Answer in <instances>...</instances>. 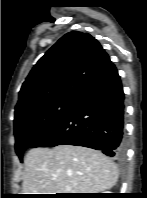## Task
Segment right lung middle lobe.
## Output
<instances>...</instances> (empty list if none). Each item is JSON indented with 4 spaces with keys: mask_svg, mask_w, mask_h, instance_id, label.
Segmentation results:
<instances>
[{
    "mask_svg": "<svg viewBox=\"0 0 147 198\" xmlns=\"http://www.w3.org/2000/svg\"><path fill=\"white\" fill-rule=\"evenodd\" d=\"M75 100H56L40 105L14 120L15 151L20 159L72 108Z\"/></svg>",
    "mask_w": 147,
    "mask_h": 198,
    "instance_id": "obj_1",
    "label": "right lung middle lobe"
}]
</instances>
